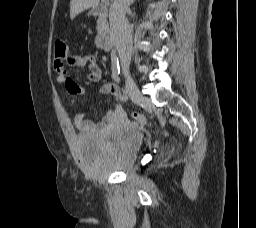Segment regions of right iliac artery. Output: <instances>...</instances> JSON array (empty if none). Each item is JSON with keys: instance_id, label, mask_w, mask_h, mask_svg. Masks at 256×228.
<instances>
[{"instance_id": "right-iliac-artery-1", "label": "right iliac artery", "mask_w": 256, "mask_h": 228, "mask_svg": "<svg viewBox=\"0 0 256 228\" xmlns=\"http://www.w3.org/2000/svg\"><path fill=\"white\" fill-rule=\"evenodd\" d=\"M128 95L127 94H123V95H121V100L123 101V102H127L128 101Z\"/></svg>"}]
</instances>
